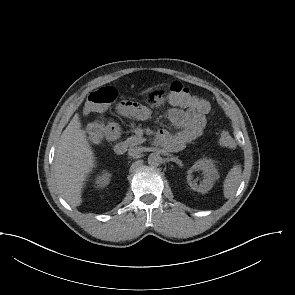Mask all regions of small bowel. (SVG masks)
Wrapping results in <instances>:
<instances>
[{"instance_id": "c3829d8e", "label": "small bowel", "mask_w": 295, "mask_h": 295, "mask_svg": "<svg viewBox=\"0 0 295 295\" xmlns=\"http://www.w3.org/2000/svg\"><path fill=\"white\" fill-rule=\"evenodd\" d=\"M170 103L172 106L168 109L167 116L180 131L171 134L166 130H160L158 138L167 148L177 151L203 134L206 118L195 108L181 105L174 99H170ZM117 111L122 116L140 120L146 119L149 115L147 108L127 100L118 103ZM106 128L108 139L115 140L119 137V128L114 122H108Z\"/></svg>"}]
</instances>
